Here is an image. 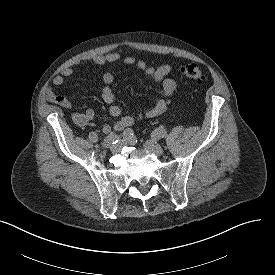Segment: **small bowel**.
Returning <instances> with one entry per match:
<instances>
[{
    "mask_svg": "<svg viewBox=\"0 0 275 275\" xmlns=\"http://www.w3.org/2000/svg\"><path fill=\"white\" fill-rule=\"evenodd\" d=\"M126 65H136L137 69L142 71L147 77L153 81L161 84L160 98L155 104L136 115L121 116L122 108L119 105L113 104L115 100L114 93L111 89V84L114 81V76L110 72H106L102 75V81L105 84L101 90V98L104 102L112 104L109 108V114L112 117H118V119L112 124H104L102 131L105 134H109L113 131L119 132L125 128L131 127L136 122L157 117L163 114L168 108V100L172 97L176 91V81L170 77L172 72V66L169 64H163L158 67H153L143 60L137 61L133 56H127L122 58L117 52H111L107 54L96 55L92 61L96 65H106L108 63L121 61ZM75 74L73 68H64L53 79L55 86H60L64 83L65 78ZM47 100L60 107L71 109L73 104L63 95H61L54 87H49L47 90ZM95 119V113L91 109L75 112L72 115L73 122L78 126H85Z\"/></svg>",
    "mask_w": 275,
    "mask_h": 275,
    "instance_id": "obj_1",
    "label": "small bowel"
}]
</instances>
